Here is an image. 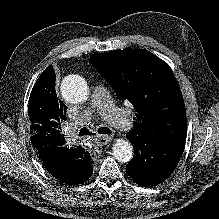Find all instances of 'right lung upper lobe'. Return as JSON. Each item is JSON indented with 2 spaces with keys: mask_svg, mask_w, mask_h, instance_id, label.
<instances>
[{
  "mask_svg": "<svg viewBox=\"0 0 219 219\" xmlns=\"http://www.w3.org/2000/svg\"><path fill=\"white\" fill-rule=\"evenodd\" d=\"M55 72L51 66L47 67L32 88L29 98V111L39 112V116L32 115L30 119L31 142L36 149L43 146H65L64 135L61 134V124L66 120V105L57 98L55 91ZM89 156V153H84ZM53 162V170L58 175L70 176L72 170L62 154L45 161Z\"/></svg>",
  "mask_w": 219,
  "mask_h": 219,
  "instance_id": "1",
  "label": "right lung upper lobe"
}]
</instances>
